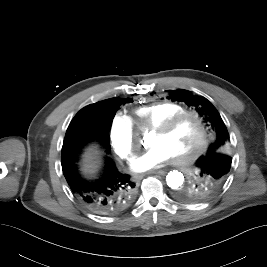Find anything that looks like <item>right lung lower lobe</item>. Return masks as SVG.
<instances>
[{"mask_svg": "<svg viewBox=\"0 0 267 267\" xmlns=\"http://www.w3.org/2000/svg\"><path fill=\"white\" fill-rule=\"evenodd\" d=\"M109 125L105 115L97 109L76 115L67 129L61 153L63 174L71 191L85 206L101 215L122 212L136 194L134 180L121 173L108 157L94 179L83 177L78 170L76 163L84 147L92 141L102 145Z\"/></svg>", "mask_w": 267, "mask_h": 267, "instance_id": "right-lung-lower-lobe-1", "label": "right lung lower lobe"}]
</instances>
